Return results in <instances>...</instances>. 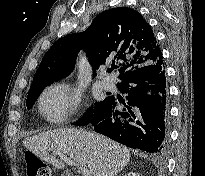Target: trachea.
Segmentation results:
<instances>
[{"label": "trachea", "instance_id": "obj_1", "mask_svg": "<svg viewBox=\"0 0 205 176\" xmlns=\"http://www.w3.org/2000/svg\"><path fill=\"white\" fill-rule=\"evenodd\" d=\"M113 70V68H111V69H108L107 71L109 72V73H111V71Z\"/></svg>", "mask_w": 205, "mask_h": 176}]
</instances>
